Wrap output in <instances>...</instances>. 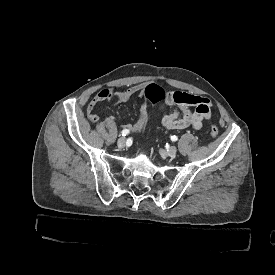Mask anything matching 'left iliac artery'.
<instances>
[{
  "label": "left iliac artery",
  "instance_id": "44dca946",
  "mask_svg": "<svg viewBox=\"0 0 275 275\" xmlns=\"http://www.w3.org/2000/svg\"><path fill=\"white\" fill-rule=\"evenodd\" d=\"M171 140H172V141H177V140H178V137L175 136V135H174V136H171Z\"/></svg>",
  "mask_w": 275,
  "mask_h": 275
}]
</instances>
